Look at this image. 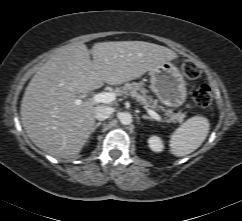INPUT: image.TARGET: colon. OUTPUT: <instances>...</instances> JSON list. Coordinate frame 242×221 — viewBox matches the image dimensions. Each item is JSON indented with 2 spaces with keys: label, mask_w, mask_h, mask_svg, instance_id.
Segmentation results:
<instances>
[{
  "label": "colon",
  "mask_w": 242,
  "mask_h": 221,
  "mask_svg": "<svg viewBox=\"0 0 242 221\" xmlns=\"http://www.w3.org/2000/svg\"><path fill=\"white\" fill-rule=\"evenodd\" d=\"M182 72L190 79H196L201 74L200 67L192 61H184L181 65ZM193 100L199 107H208L212 102V91L208 85L199 86L193 93Z\"/></svg>",
  "instance_id": "obj_1"
}]
</instances>
